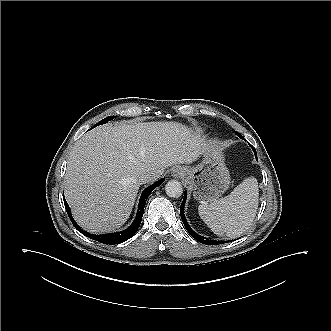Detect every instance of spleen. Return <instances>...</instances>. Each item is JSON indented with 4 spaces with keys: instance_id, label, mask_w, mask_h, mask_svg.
I'll list each match as a JSON object with an SVG mask.
<instances>
[{
    "instance_id": "1",
    "label": "spleen",
    "mask_w": 331,
    "mask_h": 331,
    "mask_svg": "<svg viewBox=\"0 0 331 331\" xmlns=\"http://www.w3.org/2000/svg\"><path fill=\"white\" fill-rule=\"evenodd\" d=\"M258 207L257 179L249 176L220 199L201 200L198 212L217 235L236 238L249 229Z\"/></svg>"
}]
</instances>
